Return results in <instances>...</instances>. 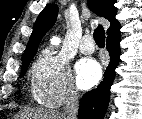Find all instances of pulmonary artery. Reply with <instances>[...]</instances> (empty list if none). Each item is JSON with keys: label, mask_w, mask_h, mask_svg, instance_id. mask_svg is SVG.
I'll return each mask as SVG.
<instances>
[{"label": "pulmonary artery", "mask_w": 142, "mask_h": 119, "mask_svg": "<svg viewBox=\"0 0 142 119\" xmlns=\"http://www.w3.org/2000/svg\"><path fill=\"white\" fill-rule=\"evenodd\" d=\"M79 50L85 55L92 54L95 50L93 38L90 35H86L82 38L79 44Z\"/></svg>", "instance_id": "obj_1"}]
</instances>
